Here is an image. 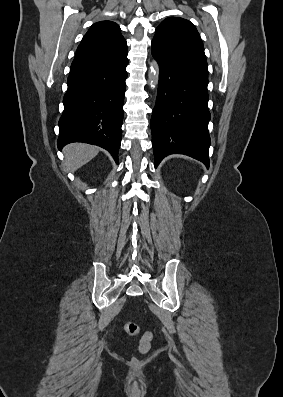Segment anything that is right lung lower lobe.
Listing matches in <instances>:
<instances>
[{
	"mask_svg": "<svg viewBox=\"0 0 283 397\" xmlns=\"http://www.w3.org/2000/svg\"><path fill=\"white\" fill-rule=\"evenodd\" d=\"M128 59L69 74L59 120L58 148L85 142L108 150L116 163L121 144Z\"/></svg>",
	"mask_w": 283,
	"mask_h": 397,
	"instance_id": "98d812e1",
	"label": "right lung lower lobe"
}]
</instances>
